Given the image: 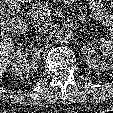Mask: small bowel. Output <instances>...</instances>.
<instances>
[{
    "mask_svg": "<svg viewBox=\"0 0 113 113\" xmlns=\"http://www.w3.org/2000/svg\"><path fill=\"white\" fill-rule=\"evenodd\" d=\"M92 7L94 11V15L96 16L97 19L102 21L104 24H106L109 29L113 32V0H107L110 1L109 8L111 12L107 11L103 5H102V0H86ZM86 15L83 14L81 15V19H86Z\"/></svg>",
    "mask_w": 113,
    "mask_h": 113,
    "instance_id": "1",
    "label": "small bowel"
}]
</instances>
